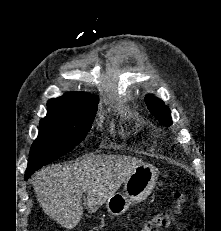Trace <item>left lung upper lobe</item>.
Returning <instances> with one entry per match:
<instances>
[{
	"label": "left lung upper lobe",
	"mask_w": 221,
	"mask_h": 231,
	"mask_svg": "<svg viewBox=\"0 0 221 231\" xmlns=\"http://www.w3.org/2000/svg\"><path fill=\"white\" fill-rule=\"evenodd\" d=\"M145 102L151 114L155 116L160 123L166 127L171 126L172 119L170 109L165 106L161 100L151 95H147L145 97Z\"/></svg>",
	"instance_id": "obj_1"
}]
</instances>
